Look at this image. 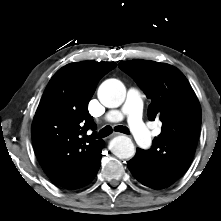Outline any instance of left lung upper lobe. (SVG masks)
<instances>
[{
	"mask_svg": "<svg viewBox=\"0 0 221 221\" xmlns=\"http://www.w3.org/2000/svg\"><path fill=\"white\" fill-rule=\"evenodd\" d=\"M119 68L151 99L149 119L162 122L152 148L144 151L158 183L170 186L193 159L202 118L199 101L186 77L169 64L135 59L121 61Z\"/></svg>",
	"mask_w": 221,
	"mask_h": 221,
	"instance_id": "5c2ea615",
	"label": "left lung upper lobe"
}]
</instances>
